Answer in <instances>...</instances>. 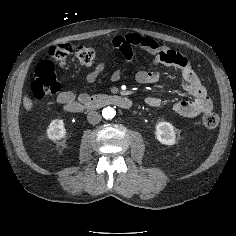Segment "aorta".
I'll return each instance as SVG.
<instances>
[{
    "instance_id": "obj_1",
    "label": "aorta",
    "mask_w": 236,
    "mask_h": 236,
    "mask_svg": "<svg viewBox=\"0 0 236 236\" xmlns=\"http://www.w3.org/2000/svg\"><path fill=\"white\" fill-rule=\"evenodd\" d=\"M116 112L112 107H106L102 111V115L105 119H112L115 116Z\"/></svg>"
}]
</instances>
